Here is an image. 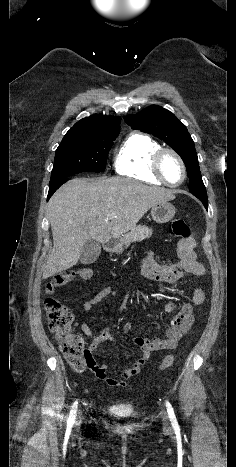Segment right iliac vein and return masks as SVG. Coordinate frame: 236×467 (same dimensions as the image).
<instances>
[{
  "label": "right iliac vein",
  "mask_w": 236,
  "mask_h": 467,
  "mask_svg": "<svg viewBox=\"0 0 236 467\" xmlns=\"http://www.w3.org/2000/svg\"><path fill=\"white\" fill-rule=\"evenodd\" d=\"M80 420H81V418H80V416H79V417H78V421H80Z\"/></svg>",
  "instance_id": "right-iliac-vein-1"
}]
</instances>
